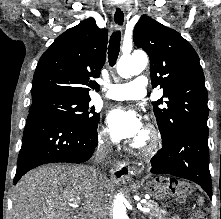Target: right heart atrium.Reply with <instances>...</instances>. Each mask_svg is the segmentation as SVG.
<instances>
[{"label": "right heart atrium", "instance_id": "1", "mask_svg": "<svg viewBox=\"0 0 221 219\" xmlns=\"http://www.w3.org/2000/svg\"><path fill=\"white\" fill-rule=\"evenodd\" d=\"M106 137H107V132L105 129L101 130L100 133H99V138L103 141L106 140Z\"/></svg>", "mask_w": 221, "mask_h": 219}]
</instances>
